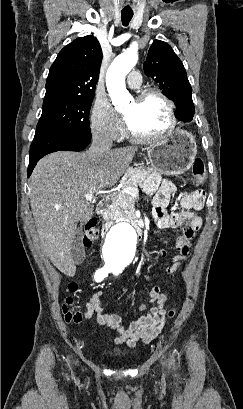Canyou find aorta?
<instances>
[{
	"instance_id": "762f6f07",
	"label": "aorta",
	"mask_w": 243,
	"mask_h": 409,
	"mask_svg": "<svg viewBox=\"0 0 243 409\" xmlns=\"http://www.w3.org/2000/svg\"><path fill=\"white\" fill-rule=\"evenodd\" d=\"M138 60L137 53L128 50L119 56L109 66L106 73V86L115 107H122L129 103L130 95L125 87V77L133 69ZM136 241V232L129 223L114 225L107 232L103 253L108 262H114L131 252Z\"/></svg>"
}]
</instances>
